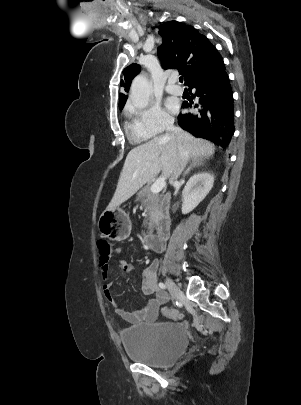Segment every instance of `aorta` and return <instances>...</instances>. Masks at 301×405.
Listing matches in <instances>:
<instances>
[{
    "instance_id": "1",
    "label": "aorta",
    "mask_w": 301,
    "mask_h": 405,
    "mask_svg": "<svg viewBox=\"0 0 301 405\" xmlns=\"http://www.w3.org/2000/svg\"><path fill=\"white\" fill-rule=\"evenodd\" d=\"M152 93V84L145 75H138L134 78L130 97L135 107L146 108L149 104Z\"/></svg>"
}]
</instances>
